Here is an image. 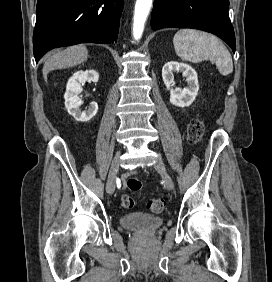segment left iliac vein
<instances>
[{
	"label": "left iliac vein",
	"instance_id": "1",
	"mask_svg": "<svg viewBox=\"0 0 272 282\" xmlns=\"http://www.w3.org/2000/svg\"><path fill=\"white\" fill-rule=\"evenodd\" d=\"M155 168L160 173L164 180L165 187L169 190H172L174 188V182L171 178V176L168 174L166 167L162 161V159L158 158L157 162L155 164Z\"/></svg>",
	"mask_w": 272,
	"mask_h": 282
}]
</instances>
